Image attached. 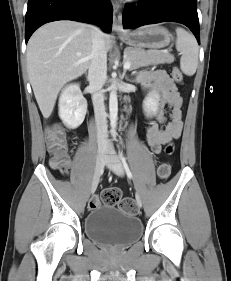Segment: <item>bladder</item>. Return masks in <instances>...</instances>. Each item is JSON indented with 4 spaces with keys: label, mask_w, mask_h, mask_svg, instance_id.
I'll list each match as a JSON object with an SVG mask.
<instances>
[{
    "label": "bladder",
    "mask_w": 231,
    "mask_h": 281,
    "mask_svg": "<svg viewBox=\"0 0 231 281\" xmlns=\"http://www.w3.org/2000/svg\"><path fill=\"white\" fill-rule=\"evenodd\" d=\"M86 236L104 246L124 248L142 235L140 219L110 205L92 209L84 219Z\"/></svg>",
    "instance_id": "31cf9c89"
}]
</instances>
